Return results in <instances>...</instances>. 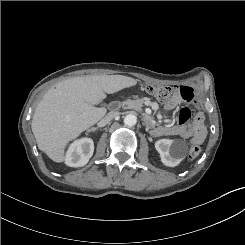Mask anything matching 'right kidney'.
<instances>
[{
    "mask_svg": "<svg viewBox=\"0 0 245 245\" xmlns=\"http://www.w3.org/2000/svg\"><path fill=\"white\" fill-rule=\"evenodd\" d=\"M94 142L91 138H82L74 141L65 156V163L70 167H82L92 157Z\"/></svg>",
    "mask_w": 245,
    "mask_h": 245,
    "instance_id": "obj_1",
    "label": "right kidney"
}]
</instances>
